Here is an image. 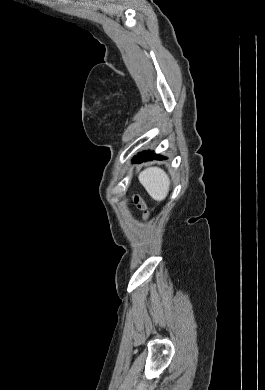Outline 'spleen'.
Segmentation results:
<instances>
[{
  "mask_svg": "<svg viewBox=\"0 0 265 390\" xmlns=\"http://www.w3.org/2000/svg\"><path fill=\"white\" fill-rule=\"evenodd\" d=\"M138 178L140 183L154 200L162 201L166 198L170 180L161 168H147L139 174Z\"/></svg>",
  "mask_w": 265,
  "mask_h": 390,
  "instance_id": "spleen-1",
  "label": "spleen"
}]
</instances>
